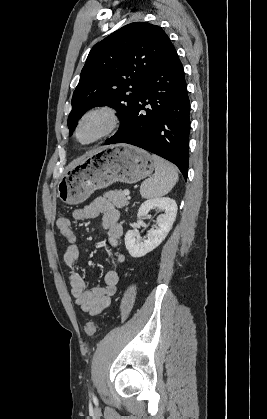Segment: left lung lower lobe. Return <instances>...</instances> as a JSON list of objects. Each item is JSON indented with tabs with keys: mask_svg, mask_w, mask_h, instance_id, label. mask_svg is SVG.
Segmentation results:
<instances>
[{
	"mask_svg": "<svg viewBox=\"0 0 267 419\" xmlns=\"http://www.w3.org/2000/svg\"><path fill=\"white\" fill-rule=\"evenodd\" d=\"M145 83L131 113L105 144L128 143L148 150L177 165L186 179L190 101L183 65L172 43Z\"/></svg>",
	"mask_w": 267,
	"mask_h": 419,
	"instance_id": "0a47b994",
	"label": "left lung lower lobe"
}]
</instances>
